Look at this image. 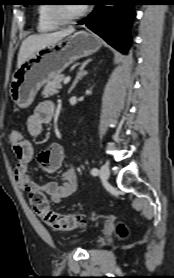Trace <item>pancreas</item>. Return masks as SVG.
<instances>
[{"instance_id":"cf45deb5","label":"pancreas","mask_w":174,"mask_h":278,"mask_svg":"<svg viewBox=\"0 0 174 278\" xmlns=\"http://www.w3.org/2000/svg\"><path fill=\"white\" fill-rule=\"evenodd\" d=\"M64 79V76L59 74L54 76L47 82V85L42 91V96L47 98L58 93V90L62 88L61 82Z\"/></svg>"}]
</instances>
